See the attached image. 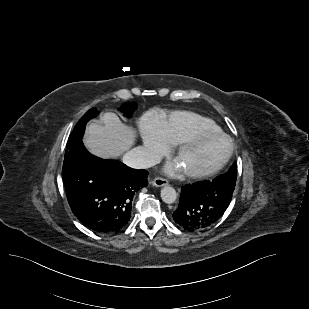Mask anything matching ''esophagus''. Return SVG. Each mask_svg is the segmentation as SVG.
<instances>
[{
	"label": "esophagus",
	"instance_id": "esophagus-1",
	"mask_svg": "<svg viewBox=\"0 0 309 309\" xmlns=\"http://www.w3.org/2000/svg\"><path fill=\"white\" fill-rule=\"evenodd\" d=\"M151 184L155 187H163L168 184V180L162 177H156L152 180Z\"/></svg>",
	"mask_w": 309,
	"mask_h": 309
}]
</instances>
